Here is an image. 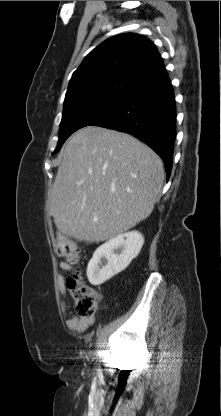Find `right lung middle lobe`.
<instances>
[{
	"label": "right lung middle lobe",
	"instance_id": "1",
	"mask_svg": "<svg viewBox=\"0 0 221 416\" xmlns=\"http://www.w3.org/2000/svg\"><path fill=\"white\" fill-rule=\"evenodd\" d=\"M129 93L126 89H102L64 102L59 141L53 153L73 132L104 119Z\"/></svg>",
	"mask_w": 221,
	"mask_h": 416
}]
</instances>
